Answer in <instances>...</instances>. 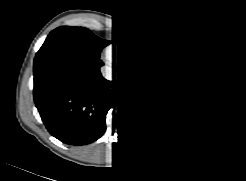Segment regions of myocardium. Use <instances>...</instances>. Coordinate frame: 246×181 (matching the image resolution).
<instances>
[{
  "label": "myocardium",
  "mask_w": 246,
  "mask_h": 181,
  "mask_svg": "<svg viewBox=\"0 0 246 181\" xmlns=\"http://www.w3.org/2000/svg\"><path fill=\"white\" fill-rule=\"evenodd\" d=\"M159 47H157V48H155L154 50H152L150 53H149V55H148V57H147V61H150L156 54H157V52L159 51Z\"/></svg>",
  "instance_id": "myocardium-1"
}]
</instances>
